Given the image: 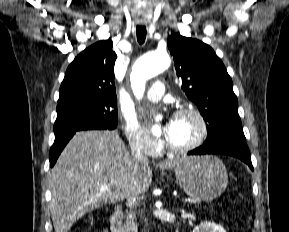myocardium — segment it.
Here are the masks:
<instances>
[{
    "mask_svg": "<svg viewBox=\"0 0 289 232\" xmlns=\"http://www.w3.org/2000/svg\"><path fill=\"white\" fill-rule=\"evenodd\" d=\"M183 114H190L195 117V119L197 120L199 124V133L194 141H192L191 143L185 146L176 147L167 143L166 147L168 151L175 153V154H184V153H188L197 149L205 142L208 136L207 120L205 116L203 115V113L198 108L191 106V105L182 106L175 111L174 116H180Z\"/></svg>",
    "mask_w": 289,
    "mask_h": 232,
    "instance_id": "obj_1",
    "label": "myocardium"
}]
</instances>
